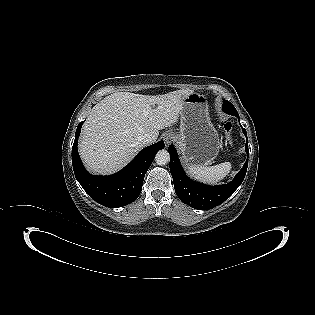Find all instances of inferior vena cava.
<instances>
[{
    "mask_svg": "<svg viewBox=\"0 0 315 315\" xmlns=\"http://www.w3.org/2000/svg\"><path fill=\"white\" fill-rule=\"evenodd\" d=\"M156 139L157 138L154 135L146 134V135L141 137L140 141L144 145H149V144L154 143L156 141Z\"/></svg>",
    "mask_w": 315,
    "mask_h": 315,
    "instance_id": "1",
    "label": "inferior vena cava"
}]
</instances>
